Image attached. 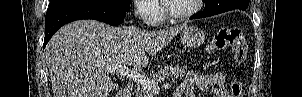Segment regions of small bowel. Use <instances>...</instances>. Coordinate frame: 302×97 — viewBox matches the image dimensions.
Instances as JSON below:
<instances>
[{
    "instance_id": "small-bowel-1",
    "label": "small bowel",
    "mask_w": 302,
    "mask_h": 97,
    "mask_svg": "<svg viewBox=\"0 0 302 97\" xmlns=\"http://www.w3.org/2000/svg\"><path fill=\"white\" fill-rule=\"evenodd\" d=\"M196 88L213 97H230L226 88V77L221 72L210 74L190 72L178 87L174 97H195Z\"/></svg>"
}]
</instances>
